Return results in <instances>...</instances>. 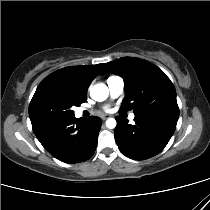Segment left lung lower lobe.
<instances>
[{
  "label": "left lung lower lobe",
  "mask_w": 210,
  "mask_h": 210,
  "mask_svg": "<svg viewBox=\"0 0 210 210\" xmlns=\"http://www.w3.org/2000/svg\"><path fill=\"white\" fill-rule=\"evenodd\" d=\"M178 119L162 116L135 117V125L116 117L114 136L118 148L127 157L144 160L161 152L172 137Z\"/></svg>",
  "instance_id": "obj_1"
}]
</instances>
